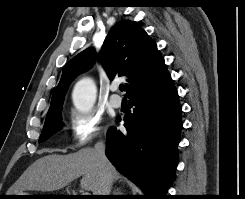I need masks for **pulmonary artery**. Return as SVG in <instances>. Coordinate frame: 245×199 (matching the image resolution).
<instances>
[{"mask_svg":"<svg viewBox=\"0 0 245 199\" xmlns=\"http://www.w3.org/2000/svg\"><path fill=\"white\" fill-rule=\"evenodd\" d=\"M112 95L110 97V103L114 108H120L122 105V98L117 94L118 85L112 84L110 87Z\"/></svg>","mask_w":245,"mask_h":199,"instance_id":"pulmonary-artery-1","label":"pulmonary artery"}]
</instances>
